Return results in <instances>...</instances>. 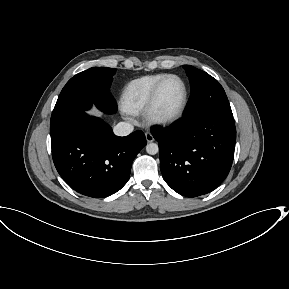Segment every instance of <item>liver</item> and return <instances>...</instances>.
<instances>
[{"mask_svg":"<svg viewBox=\"0 0 289 289\" xmlns=\"http://www.w3.org/2000/svg\"><path fill=\"white\" fill-rule=\"evenodd\" d=\"M89 114L101 116V113L99 111H97L96 109H93V110L89 111Z\"/></svg>","mask_w":289,"mask_h":289,"instance_id":"obj_1","label":"liver"}]
</instances>
